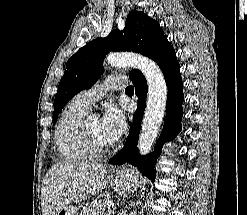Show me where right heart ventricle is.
<instances>
[{"instance_id": "obj_1", "label": "right heart ventricle", "mask_w": 247, "mask_h": 215, "mask_svg": "<svg viewBox=\"0 0 247 215\" xmlns=\"http://www.w3.org/2000/svg\"><path fill=\"white\" fill-rule=\"evenodd\" d=\"M87 111L72 100L61 114L55 130V144L65 162L81 163L92 158L80 133V125Z\"/></svg>"}]
</instances>
